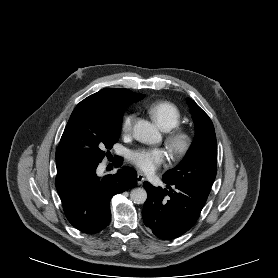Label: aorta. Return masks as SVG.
I'll return each mask as SVG.
<instances>
[{
    "mask_svg": "<svg viewBox=\"0 0 278 278\" xmlns=\"http://www.w3.org/2000/svg\"><path fill=\"white\" fill-rule=\"evenodd\" d=\"M133 133L137 140L155 144L161 141V134L157 127L145 120H138L133 127ZM130 198L135 204H143L147 199V192L143 188H135L130 193Z\"/></svg>",
    "mask_w": 278,
    "mask_h": 278,
    "instance_id": "obj_1",
    "label": "aorta"
}]
</instances>
